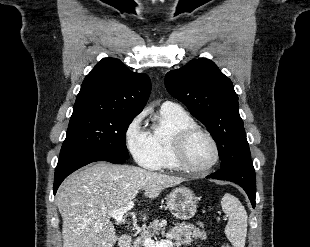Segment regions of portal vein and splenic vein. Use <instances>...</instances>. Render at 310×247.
<instances>
[{"instance_id":"1","label":"portal vein and splenic vein","mask_w":310,"mask_h":247,"mask_svg":"<svg viewBox=\"0 0 310 247\" xmlns=\"http://www.w3.org/2000/svg\"><path fill=\"white\" fill-rule=\"evenodd\" d=\"M134 206V201H129L125 206L111 211L109 216L114 218L117 223L124 224L125 214L130 211ZM145 247H173V242L171 240H161V241H154L151 237H146L143 241Z\"/></svg>"}]
</instances>
